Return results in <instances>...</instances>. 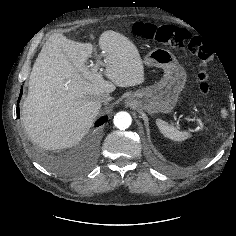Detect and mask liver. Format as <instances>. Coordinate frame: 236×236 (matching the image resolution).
Segmentation results:
<instances>
[{"mask_svg":"<svg viewBox=\"0 0 236 236\" xmlns=\"http://www.w3.org/2000/svg\"><path fill=\"white\" fill-rule=\"evenodd\" d=\"M105 64L104 79L97 65H86L92 56L89 43L52 34L39 53L29 77L28 96L21 120L33 142L44 149L77 144L99 114L103 93L116 86L130 87L145 81L139 50L125 35L104 31L98 41Z\"/></svg>","mask_w":236,"mask_h":236,"instance_id":"obj_1","label":"liver"}]
</instances>
